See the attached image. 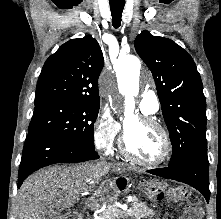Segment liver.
Masks as SVG:
<instances>
[{"label": "liver", "mask_w": 221, "mask_h": 219, "mask_svg": "<svg viewBox=\"0 0 221 219\" xmlns=\"http://www.w3.org/2000/svg\"><path fill=\"white\" fill-rule=\"evenodd\" d=\"M110 164L83 163L75 166H52L29 176L22 184L16 213L18 219H44L48 210L74 206L80 194L105 176Z\"/></svg>", "instance_id": "obj_1"}]
</instances>
